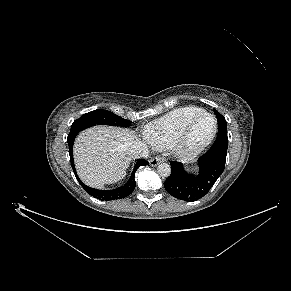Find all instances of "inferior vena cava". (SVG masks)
Returning <instances> with one entry per match:
<instances>
[{
    "label": "inferior vena cava",
    "instance_id": "602c4592",
    "mask_svg": "<svg viewBox=\"0 0 291 291\" xmlns=\"http://www.w3.org/2000/svg\"><path fill=\"white\" fill-rule=\"evenodd\" d=\"M129 153L132 158H148L149 151L146 144L140 141H133L129 146Z\"/></svg>",
    "mask_w": 291,
    "mask_h": 291
}]
</instances>
